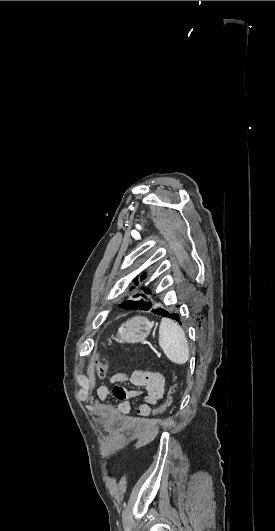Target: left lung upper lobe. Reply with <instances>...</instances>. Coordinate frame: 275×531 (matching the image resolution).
Returning a JSON list of instances; mask_svg holds the SVG:
<instances>
[{
	"instance_id": "5c2ea615",
	"label": "left lung upper lobe",
	"mask_w": 275,
	"mask_h": 531,
	"mask_svg": "<svg viewBox=\"0 0 275 531\" xmlns=\"http://www.w3.org/2000/svg\"><path fill=\"white\" fill-rule=\"evenodd\" d=\"M145 293L147 294L148 290H146ZM133 297H135L136 299L124 301L119 306L124 308V309H133V310H137V309L149 310V309H151L152 304L150 302L146 301V299H147L146 295L136 294ZM142 298H144V299H142Z\"/></svg>"
}]
</instances>
